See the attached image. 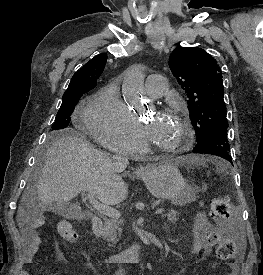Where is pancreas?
<instances>
[{
	"label": "pancreas",
	"instance_id": "obj_1",
	"mask_svg": "<svg viewBox=\"0 0 263 275\" xmlns=\"http://www.w3.org/2000/svg\"><path fill=\"white\" fill-rule=\"evenodd\" d=\"M178 211L169 210L164 214L171 222L177 221ZM120 222L117 219L111 218L106 219L104 223L105 237L108 238L111 242L116 243L118 241V236H121L122 228L120 227Z\"/></svg>",
	"mask_w": 263,
	"mask_h": 275
}]
</instances>
